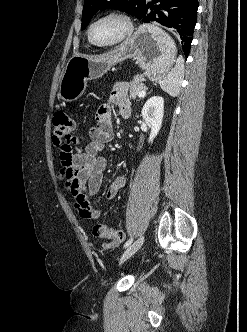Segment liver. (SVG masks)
<instances>
[{
	"label": "liver",
	"instance_id": "obj_1",
	"mask_svg": "<svg viewBox=\"0 0 247 332\" xmlns=\"http://www.w3.org/2000/svg\"><path fill=\"white\" fill-rule=\"evenodd\" d=\"M82 57H85L87 59H98V58H101V57H90V56H82Z\"/></svg>",
	"mask_w": 247,
	"mask_h": 332
}]
</instances>
